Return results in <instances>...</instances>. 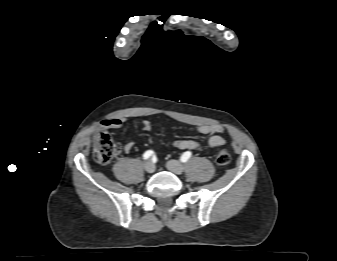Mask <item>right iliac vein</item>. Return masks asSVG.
<instances>
[{"mask_svg": "<svg viewBox=\"0 0 337 261\" xmlns=\"http://www.w3.org/2000/svg\"><path fill=\"white\" fill-rule=\"evenodd\" d=\"M144 168L148 173H153L155 170V166L152 161H148L147 163H145Z\"/></svg>", "mask_w": 337, "mask_h": 261, "instance_id": "63e3f726", "label": "right iliac vein"}]
</instances>
